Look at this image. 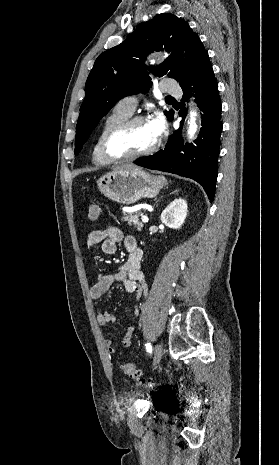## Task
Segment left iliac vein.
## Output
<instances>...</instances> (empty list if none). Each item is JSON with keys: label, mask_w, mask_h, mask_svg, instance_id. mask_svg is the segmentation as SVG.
<instances>
[{"label": "left iliac vein", "mask_w": 279, "mask_h": 465, "mask_svg": "<svg viewBox=\"0 0 279 465\" xmlns=\"http://www.w3.org/2000/svg\"><path fill=\"white\" fill-rule=\"evenodd\" d=\"M162 355H163V348L161 344H156L154 347V360L156 364L160 362Z\"/></svg>", "instance_id": "1"}]
</instances>
